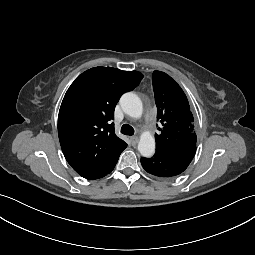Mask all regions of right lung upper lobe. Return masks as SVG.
I'll use <instances>...</instances> for the list:
<instances>
[{
    "mask_svg": "<svg viewBox=\"0 0 255 255\" xmlns=\"http://www.w3.org/2000/svg\"><path fill=\"white\" fill-rule=\"evenodd\" d=\"M138 71L95 67L78 76L67 90L58 116V135L71 167L97 179L118 161L127 144L114 132L115 105L142 80Z\"/></svg>",
    "mask_w": 255,
    "mask_h": 255,
    "instance_id": "obj_1",
    "label": "right lung upper lobe"
}]
</instances>
